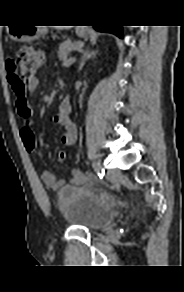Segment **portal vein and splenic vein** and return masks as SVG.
Listing matches in <instances>:
<instances>
[{
  "mask_svg": "<svg viewBox=\"0 0 184 292\" xmlns=\"http://www.w3.org/2000/svg\"><path fill=\"white\" fill-rule=\"evenodd\" d=\"M75 58H70V59H64L62 65L64 67H69L72 63L75 62Z\"/></svg>",
  "mask_w": 184,
  "mask_h": 292,
  "instance_id": "portal-vein-and-splenic-vein-1",
  "label": "portal vein and splenic vein"
}]
</instances>
